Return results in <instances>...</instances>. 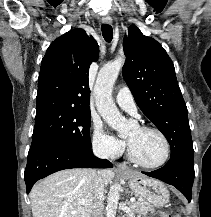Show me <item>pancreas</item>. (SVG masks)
Masks as SVG:
<instances>
[{
    "label": "pancreas",
    "mask_w": 211,
    "mask_h": 217,
    "mask_svg": "<svg viewBox=\"0 0 211 217\" xmlns=\"http://www.w3.org/2000/svg\"><path fill=\"white\" fill-rule=\"evenodd\" d=\"M132 209L139 215H146L148 212L153 213L154 207L148 201L143 198H139L137 201L131 204Z\"/></svg>",
    "instance_id": "obj_1"
}]
</instances>
